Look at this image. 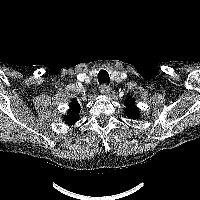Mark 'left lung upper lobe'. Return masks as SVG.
Segmentation results:
<instances>
[{
  "mask_svg": "<svg viewBox=\"0 0 200 200\" xmlns=\"http://www.w3.org/2000/svg\"><path fill=\"white\" fill-rule=\"evenodd\" d=\"M126 113L129 117L138 118L139 109L136 107L134 100L131 98L126 99Z\"/></svg>",
  "mask_w": 200,
  "mask_h": 200,
  "instance_id": "obj_1",
  "label": "left lung upper lobe"
}]
</instances>
